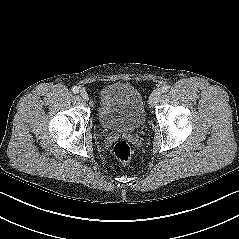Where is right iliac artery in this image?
Wrapping results in <instances>:
<instances>
[{"label": "right iliac artery", "instance_id": "82829eb1", "mask_svg": "<svg viewBox=\"0 0 239 239\" xmlns=\"http://www.w3.org/2000/svg\"><path fill=\"white\" fill-rule=\"evenodd\" d=\"M72 91H73V93H78L79 87H77V86L72 87Z\"/></svg>", "mask_w": 239, "mask_h": 239}]
</instances>
